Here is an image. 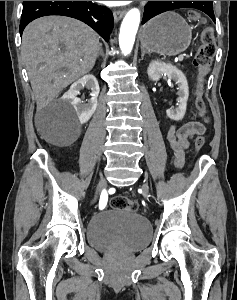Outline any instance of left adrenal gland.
I'll use <instances>...</instances> for the list:
<instances>
[{"mask_svg": "<svg viewBox=\"0 0 237 300\" xmlns=\"http://www.w3.org/2000/svg\"><path fill=\"white\" fill-rule=\"evenodd\" d=\"M145 53H147V51H145L144 47H141V61H143Z\"/></svg>", "mask_w": 237, "mask_h": 300, "instance_id": "a2214340", "label": "left adrenal gland"}]
</instances>
